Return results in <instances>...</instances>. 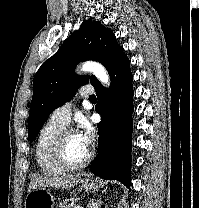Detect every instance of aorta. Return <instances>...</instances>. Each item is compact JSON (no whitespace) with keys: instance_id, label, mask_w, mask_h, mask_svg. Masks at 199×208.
Wrapping results in <instances>:
<instances>
[{"instance_id":"aorta-1","label":"aorta","mask_w":199,"mask_h":208,"mask_svg":"<svg viewBox=\"0 0 199 208\" xmlns=\"http://www.w3.org/2000/svg\"><path fill=\"white\" fill-rule=\"evenodd\" d=\"M82 72H91L105 86L110 83L109 75L103 65L94 61H87L81 66Z\"/></svg>"}]
</instances>
